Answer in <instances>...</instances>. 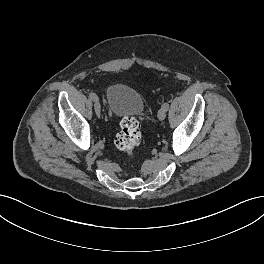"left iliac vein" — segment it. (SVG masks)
Segmentation results:
<instances>
[{
	"instance_id": "4c4485c4",
	"label": "left iliac vein",
	"mask_w": 264,
	"mask_h": 264,
	"mask_svg": "<svg viewBox=\"0 0 264 264\" xmlns=\"http://www.w3.org/2000/svg\"><path fill=\"white\" fill-rule=\"evenodd\" d=\"M165 117H166V110L163 107H161L158 111V119L160 121H163Z\"/></svg>"
}]
</instances>
